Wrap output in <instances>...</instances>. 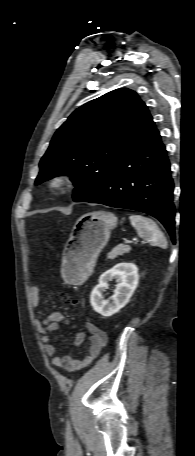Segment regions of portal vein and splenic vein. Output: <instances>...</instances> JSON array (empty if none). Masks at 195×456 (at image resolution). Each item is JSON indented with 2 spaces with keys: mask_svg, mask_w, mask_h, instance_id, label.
Returning a JSON list of instances; mask_svg holds the SVG:
<instances>
[{
  "mask_svg": "<svg viewBox=\"0 0 195 456\" xmlns=\"http://www.w3.org/2000/svg\"><path fill=\"white\" fill-rule=\"evenodd\" d=\"M134 243V240H125V244H132Z\"/></svg>",
  "mask_w": 195,
  "mask_h": 456,
  "instance_id": "1",
  "label": "portal vein and splenic vein"
}]
</instances>
